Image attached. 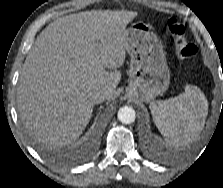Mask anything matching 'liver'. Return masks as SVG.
Returning a JSON list of instances; mask_svg holds the SVG:
<instances>
[{"mask_svg":"<svg viewBox=\"0 0 223 188\" xmlns=\"http://www.w3.org/2000/svg\"><path fill=\"white\" fill-rule=\"evenodd\" d=\"M137 15L85 11L60 17L39 34L17 88L20 117L39 142L73 144L92 116L91 92L105 90L108 100L113 97L126 57V26Z\"/></svg>","mask_w":223,"mask_h":188,"instance_id":"obj_1","label":"liver"}]
</instances>
